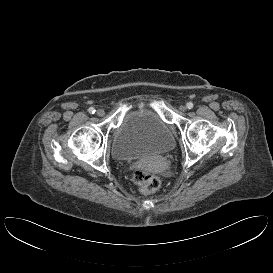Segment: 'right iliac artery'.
I'll list each match as a JSON object with an SVG mask.
<instances>
[{
    "instance_id": "1",
    "label": "right iliac artery",
    "mask_w": 273,
    "mask_h": 273,
    "mask_svg": "<svg viewBox=\"0 0 273 273\" xmlns=\"http://www.w3.org/2000/svg\"><path fill=\"white\" fill-rule=\"evenodd\" d=\"M88 111L89 113L94 114L96 110L93 107H90Z\"/></svg>"
}]
</instances>
